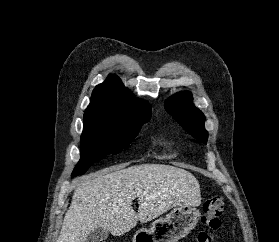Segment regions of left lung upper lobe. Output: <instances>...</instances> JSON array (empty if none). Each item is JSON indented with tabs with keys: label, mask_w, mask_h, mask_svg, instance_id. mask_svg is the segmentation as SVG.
<instances>
[{
	"label": "left lung upper lobe",
	"mask_w": 279,
	"mask_h": 242,
	"mask_svg": "<svg viewBox=\"0 0 279 242\" xmlns=\"http://www.w3.org/2000/svg\"><path fill=\"white\" fill-rule=\"evenodd\" d=\"M165 109L194 138L203 143L207 142L208 133L204 128L205 116L193 105L189 91L171 96L165 104Z\"/></svg>",
	"instance_id": "1"
}]
</instances>
